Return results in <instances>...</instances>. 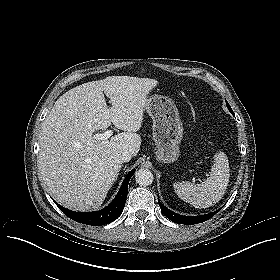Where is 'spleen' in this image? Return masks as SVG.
<instances>
[{"label":"spleen","mask_w":280,"mask_h":280,"mask_svg":"<svg viewBox=\"0 0 280 280\" xmlns=\"http://www.w3.org/2000/svg\"><path fill=\"white\" fill-rule=\"evenodd\" d=\"M230 178L227 156L224 152L214 155L209 177L200 184L188 181L173 184L175 193L183 201L197 208H207L217 203L225 194Z\"/></svg>","instance_id":"obj_1"}]
</instances>
